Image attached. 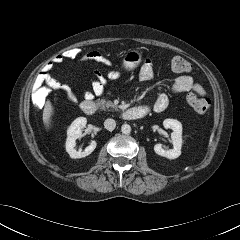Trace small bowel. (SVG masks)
Listing matches in <instances>:
<instances>
[{
    "label": "small bowel",
    "instance_id": "1",
    "mask_svg": "<svg viewBox=\"0 0 240 240\" xmlns=\"http://www.w3.org/2000/svg\"><path fill=\"white\" fill-rule=\"evenodd\" d=\"M85 61L97 62L107 67V70L104 73L97 70L94 72V79L92 81L91 90L84 92V98L86 100H91L94 96L103 95L108 80H120L122 78V75L119 71L110 68L112 66V62L98 51H90L86 53L84 57V62ZM62 62L63 60L60 58L59 54L48 61L36 75L33 82V91H37L41 86L47 85L51 88L60 90L65 94L70 102L76 103L77 98L71 88L65 84L60 83L51 75V71L54 69V67ZM152 77V61L150 59H145L140 69L139 79L140 81L145 82L151 80ZM189 91H192L200 96L205 95L203 87L196 83L194 79L189 75L179 76L171 87V93L173 94H181ZM168 104V95L165 93H158L151 104L141 107L146 109L147 112L154 111L159 113L163 112L167 108Z\"/></svg>",
    "mask_w": 240,
    "mask_h": 240
}]
</instances>
